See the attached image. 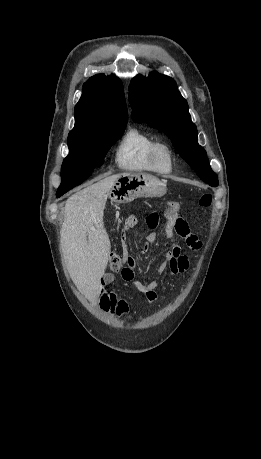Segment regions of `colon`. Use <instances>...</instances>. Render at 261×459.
<instances>
[{
	"label": "colon",
	"mask_w": 261,
	"mask_h": 459,
	"mask_svg": "<svg viewBox=\"0 0 261 459\" xmlns=\"http://www.w3.org/2000/svg\"><path fill=\"white\" fill-rule=\"evenodd\" d=\"M212 203V197L210 194H203L199 199V205L202 208H209ZM180 204L177 201H169L167 208V219L175 223L178 230H183L186 222L179 216ZM160 224V218L157 213H150L146 217V225L150 229H156ZM110 270L113 272H118L122 270L123 260L121 254H113L110 258Z\"/></svg>",
	"instance_id": "5ec220e1"
}]
</instances>
